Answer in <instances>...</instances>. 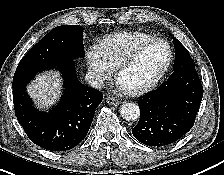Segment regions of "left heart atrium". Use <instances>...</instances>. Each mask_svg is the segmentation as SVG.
I'll return each mask as SVG.
<instances>
[{"label":"left heart atrium","instance_id":"39dd6f15","mask_svg":"<svg viewBox=\"0 0 224 175\" xmlns=\"http://www.w3.org/2000/svg\"><path fill=\"white\" fill-rule=\"evenodd\" d=\"M118 88L120 90H127L126 87L120 81H118Z\"/></svg>","mask_w":224,"mask_h":175}]
</instances>
